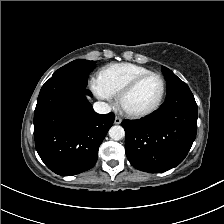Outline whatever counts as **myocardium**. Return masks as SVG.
<instances>
[{
    "mask_svg": "<svg viewBox=\"0 0 224 224\" xmlns=\"http://www.w3.org/2000/svg\"><path fill=\"white\" fill-rule=\"evenodd\" d=\"M149 77H157L161 82V91L159 94L158 99L156 102L148 109L142 110V111H128L123 106V100L124 98L131 93L143 80L149 78ZM166 93V81L164 77L156 72H149L146 74H142L140 76H137L133 80H131L129 83H127L117 94V103L120 109L129 117L131 118H142L148 115H151L154 113L162 104L163 99L165 97Z\"/></svg>",
    "mask_w": 224,
    "mask_h": 224,
    "instance_id": "obj_1",
    "label": "myocardium"
}]
</instances>
